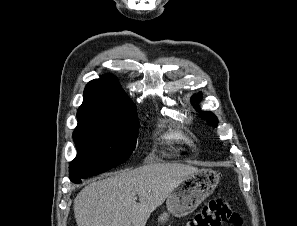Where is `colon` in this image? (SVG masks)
I'll use <instances>...</instances> for the list:
<instances>
[{"label": "colon", "instance_id": "colon-1", "mask_svg": "<svg viewBox=\"0 0 297 226\" xmlns=\"http://www.w3.org/2000/svg\"><path fill=\"white\" fill-rule=\"evenodd\" d=\"M228 222L234 226H241L242 219L228 203L221 199L209 201L186 226H221Z\"/></svg>", "mask_w": 297, "mask_h": 226}]
</instances>
